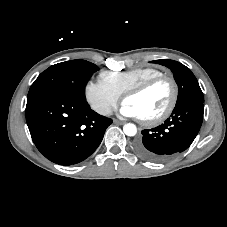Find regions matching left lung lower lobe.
Instances as JSON below:
<instances>
[{"mask_svg":"<svg viewBox=\"0 0 227 227\" xmlns=\"http://www.w3.org/2000/svg\"><path fill=\"white\" fill-rule=\"evenodd\" d=\"M203 102L191 98L176 104L163 124L141 132L142 136L134 145L136 152L147 160L161 162L186 150L200 130Z\"/></svg>","mask_w":227,"mask_h":227,"instance_id":"0a47b994","label":"left lung lower lobe"}]
</instances>
